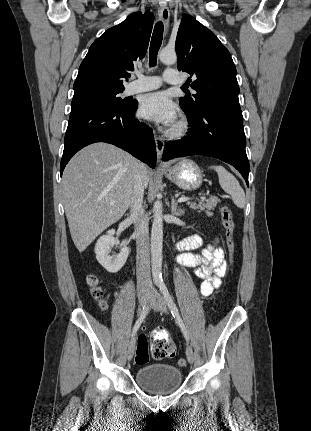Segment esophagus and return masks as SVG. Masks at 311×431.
Here are the masks:
<instances>
[{"mask_svg":"<svg viewBox=\"0 0 311 431\" xmlns=\"http://www.w3.org/2000/svg\"><path fill=\"white\" fill-rule=\"evenodd\" d=\"M158 15L159 18L162 20L164 26H165V32H167L168 24H169V18H170V12L166 5H161L158 9ZM155 144H156V153H157V162L159 163V166L161 165V158L165 146V142L163 138L160 136L154 134Z\"/></svg>","mask_w":311,"mask_h":431,"instance_id":"obj_1","label":"esophagus"}]
</instances>
